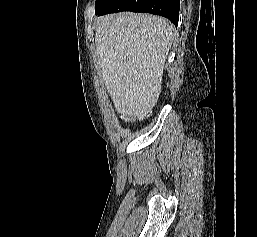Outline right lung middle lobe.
Listing matches in <instances>:
<instances>
[{"instance_id": "dd1d6c3e", "label": "right lung middle lobe", "mask_w": 257, "mask_h": 237, "mask_svg": "<svg viewBox=\"0 0 257 237\" xmlns=\"http://www.w3.org/2000/svg\"><path fill=\"white\" fill-rule=\"evenodd\" d=\"M111 0H96L95 9H99L107 5Z\"/></svg>"}]
</instances>
